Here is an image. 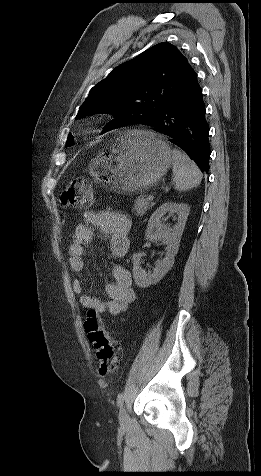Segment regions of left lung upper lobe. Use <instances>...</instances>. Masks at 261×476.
Wrapping results in <instances>:
<instances>
[{"instance_id":"5c2ea615","label":"left lung upper lobe","mask_w":261,"mask_h":476,"mask_svg":"<svg viewBox=\"0 0 261 476\" xmlns=\"http://www.w3.org/2000/svg\"><path fill=\"white\" fill-rule=\"evenodd\" d=\"M195 74L188 60L169 43H159L120 64L89 92L76 118L108 113L115 119L103 133L143 124L160 115L188 86ZM73 138L69 134L66 145Z\"/></svg>"}]
</instances>
